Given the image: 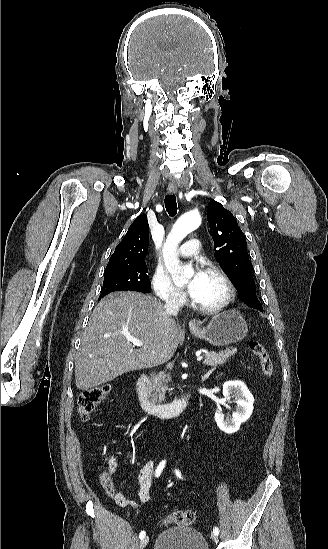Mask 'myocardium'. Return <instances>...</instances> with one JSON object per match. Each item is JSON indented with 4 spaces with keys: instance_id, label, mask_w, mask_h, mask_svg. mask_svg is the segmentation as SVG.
Instances as JSON below:
<instances>
[{
    "instance_id": "myocardium-1",
    "label": "myocardium",
    "mask_w": 328,
    "mask_h": 549,
    "mask_svg": "<svg viewBox=\"0 0 328 549\" xmlns=\"http://www.w3.org/2000/svg\"><path fill=\"white\" fill-rule=\"evenodd\" d=\"M193 264L199 265V266H206L208 269H205V273H214L218 275L225 285V295L224 297L217 302L216 304L212 306H205L203 304L198 303L197 301L193 300L192 305L193 307L199 311L200 313H203L205 315H214L219 314L223 311H225L229 305L231 304L234 295H235V287L233 284L232 279L227 274V272L224 270V267L214 261L211 260H200L196 263H187L184 268H187L189 266H192Z\"/></svg>"
}]
</instances>
